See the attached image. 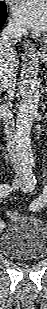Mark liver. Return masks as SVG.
I'll return each instance as SVG.
<instances>
[{
    "instance_id": "obj_1",
    "label": "liver",
    "mask_w": 47,
    "mask_h": 309,
    "mask_svg": "<svg viewBox=\"0 0 47 309\" xmlns=\"http://www.w3.org/2000/svg\"><path fill=\"white\" fill-rule=\"evenodd\" d=\"M5 62L8 64V66L10 68H12L15 72L17 71L18 67H19V59L17 57V55H15L14 58L12 59H5ZM3 65L2 63V54H1V51H0V68L1 66Z\"/></svg>"
}]
</instances>
